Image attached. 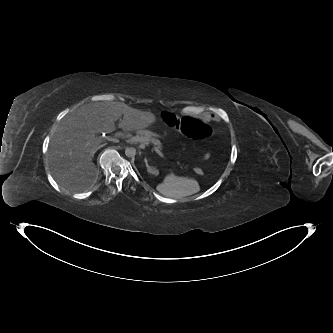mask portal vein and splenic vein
<instances>
[{"instance_id":"portal-vein-and-splenic-vein-1","label":"portal vein and splenic vein","mask_w":333,"mask_h":333,"mask_svg":"<svg viewBox=\"0 0 333 333\" xmlns=\"http://www.w3.org/2000/svg\"><path fill=\"white\" fill-rule=\"evenodd\" d=\"M128 141H131V142H139V143H145V144H148V140L144 137H139V136H134V137H131V138H128ZM154 151L162 158H164V155L160 152V150L154 146Z\"/></svg>"}]
</instances>
